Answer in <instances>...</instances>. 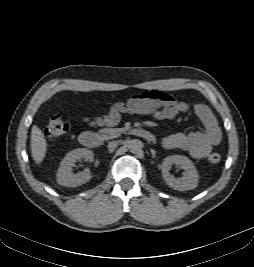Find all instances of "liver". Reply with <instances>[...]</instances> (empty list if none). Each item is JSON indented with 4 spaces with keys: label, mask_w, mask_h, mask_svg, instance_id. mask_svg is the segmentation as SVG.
I'll return each instance as SVG.
<instances>
[{
    "label": "liver",
    "mask_w": 254,
    "mask_h": 267,
    "mask_svg": "<svg viewBox=\"0 0 254 267\" xmlns=\"http://www.w3.org/2000/svg\"><path fill=\"white\" fill-rule=\"evenodd\" d=\"M30 148L34 162L37 165L41 164L46 155L47 142L43 132L36 125L32 126Z\"/></svg>",
    "instance_id": "obj_1"
}]
</instances>
